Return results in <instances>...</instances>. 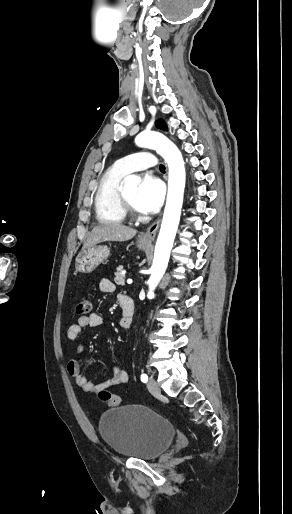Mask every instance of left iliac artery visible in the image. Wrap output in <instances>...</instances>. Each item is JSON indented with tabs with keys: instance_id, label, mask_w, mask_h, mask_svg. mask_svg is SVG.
<instances>
[{
	"instance_id": "44dca946",
	"label": "left iliac artery",
	"mask_w": 292,
	"mask_h": 514,
	"mask_svg": "<svg viewBox=\"0 0 292 514\" xmlns=\"http://www.w3.org/2000/svg\"><path fill=\"white\" fill-rule=\"evenodd\" d=\"M141 381H142V382H144V383H146V382L148 381V376H147V374H142V375H141Z\"/></svg>"
}]
</instances>
